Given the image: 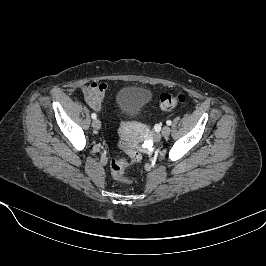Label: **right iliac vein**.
<instances>
[{"instance_id": "1", "label": "right iliac vein", "mask_w": 266, "mask_h": 266, "mask_svg": "<svg viewBox=\"0 0 266 266\" xmlns=\"http://www.w3.org/2000/svg\"><path fill=\"white\" fill-rule=\"evenodd\" d=\"M92 126L94 129H100L101 128V122L99 119H94V121L92 122Z\"/></svg>"}]
</instances>
